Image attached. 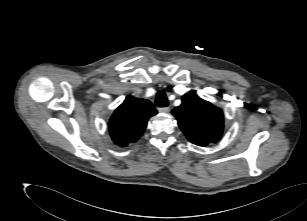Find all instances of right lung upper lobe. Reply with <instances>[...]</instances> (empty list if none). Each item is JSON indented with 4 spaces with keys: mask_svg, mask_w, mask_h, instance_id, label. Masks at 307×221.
I'll return each mask as SVG.
<instances>
[{
    "mask_svg": "<svg viewBox=\"0 0 307 221\" xmlns=\"http://www.w3.org/2000/svg\"><path fill=\"white\" fill-rule=\"evenodd\" d=\"M156 114L157 110L150 101L127 96L110 119L111 138L122 147L137 141L144 132L148 119Z\"/></svg>",
    "mask_w": 307,
    "mask_h": 221,
    "instance_id": "1",
    "label": "right lung upper lobe"
}]
</instances>
